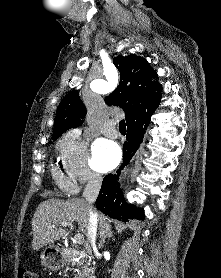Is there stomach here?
<instances>
[{
    "instance_id": "0dacf381",
    "label": "stomach",
    "mask_w": 221,
    "mask_h": 278,
    "mask_svg": "<svg viewBox=\"0 0 221 278\" xmlns=\"http://www.w3.org/2000/svg\"><path fill=\"white\" fill-rule=\"evenodd\" d=\"M41 262L47 268L56 271L65 265V256L57 246H48L41 253Z\"/></svg>"
}]
</instances>
